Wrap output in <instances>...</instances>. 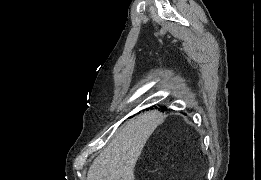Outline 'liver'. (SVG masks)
<instances>
[{"mask_svg":"<svg viewBox=\"0 0 261 180\" xmlns=\"http://www.w3.org/2000/svg\"><path fill=\"white\" fill-rule=\"evenodd\" d=\"M152 134V112L124 124L104 152L93 160L86 180H134L135 164Z\"/></svg>","mask_w":261,"mask_h":180,"instance_id":"obj_1","label":"liver"}]
</instances>
